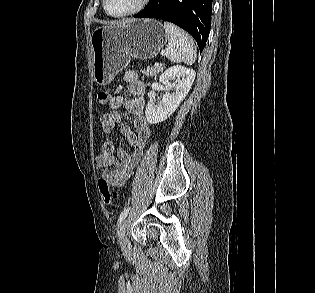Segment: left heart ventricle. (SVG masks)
Listing matches in <instances>:
<instances>
[{
  "mask_svg": "<svg viewBox=\"0 0 315 293\" xmlns=\"http://www.w3.org/2000/svg\"><path fill=\"white\" fill-rule=\"evenodd\" d=\"M140 0H107V8L112 14H123L134 9Z\"/></svg>",
  "mask_w": 315,
  "mask_h": 293,
  "instance_id": "1",
  "label": "left heart ventricle"
}]
</instances>
